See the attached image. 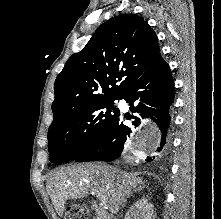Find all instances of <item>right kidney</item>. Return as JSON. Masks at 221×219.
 Masks as SVG:
<instances>
[{
	"label": "right kidney",
	"mask_w": 221,
	"mask_h": 219,
	"mask_svg": "<svg viewBox=\"0 0 221 219\" xmlns=\"http://www.w3.org/2000/svg\"><path fill=\"white\" fill-rule=\"evenodd\" d=\"M125 219H155L154 206L147 199L142 198L131 206Z\"/></svg>",
	"instance_id": "ca27d5eb"
}]
</instances>
